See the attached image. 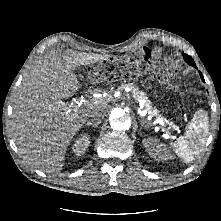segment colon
Masks as SVG:
<instances>
[{"instance_id": "1", "label": "colon", "mask_w": 221, "mask_h": 221, "mask_svg": "<svg viewBox=\"0 0 221 221\" xmlns=\"http://www.w3.org/2000/svg\"><path fill=\"white\" fill-rule=\"evenodd\" d=\"M138 60H139V69L141 72L149 71L153 65L152 55L151 52L149 51L140 52L138 54ZM157 69L159 72H161L164 75V77L167 76L168 64L166 62L159 63ZM135 70H136L135 67L132 66L126 69L123 73L126 75L127 74L132 75L135 73ZM89 72L92 76H96L104 80L114 79L119 76L118 67L114 63H106L94 66L89 69Z\"/></svg>"}]
</instances>
